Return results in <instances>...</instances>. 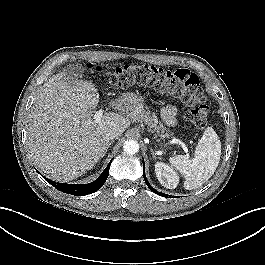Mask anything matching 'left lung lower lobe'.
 <instances>
[{
	"label": "left lung lower lobe",
	"instance_id": "1",
	"mask_svg": "<svg viewBox=\"0 0 265 265\" xmlns=\"http://www.w3.org/2000/svg\"><path fill=\"white\" fill-rule=\"evenodd\" d=\"M143 172H144V180H145V182H146L148 188H149L151 191H153L154 193H156V194H158V195H160V196H162V197H163V196H164V197H168L167 194H164V193L158 192V191H156L154 188L151 187V185L149 184V182H148V180H147V178H146V175H145L144 161H143ZM169 197H170V196H169Z\"/></svg>",
	"mask_w": 265,
	"mask_h": 265
}]
</instances>
